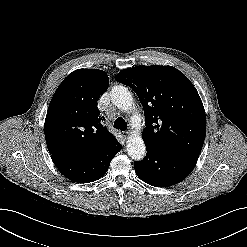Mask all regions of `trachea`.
Masks as SVG:
<instances>
[{"label":"trachea","mask_w":247,"mask_h":247,"mask_svg":"<svg viewBox=\"0 0 247 247\" xmlns=\"http://www.w3.org/2000/svg\"><path fill=\"white\" fill-rule=\"evenodd\" d=\"M114 127L121 131H125L127 129V123L125 122L124 119L119 117L114 121Z\"/></svg>","instance_id":"obj_1"}]
</instances>
